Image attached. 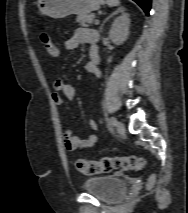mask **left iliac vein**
Masks as SVG:
<instances>
[{"label": "left iliac vein", "instance_id": "4c4485c4", "mask_svg": "<svg viewBox=\"0 0 188 213\" xmlns=\"http://www.w3.org/2000/svg\"><path fill=\"white\" fill-rule=\"evenodd\" d=\"M116 130L119 132V133H124L125 132V126L122 122L120 121H117L116 124Z\"/></svg>", "mask_w": 188, "mask_h": 213}]
</instances>
